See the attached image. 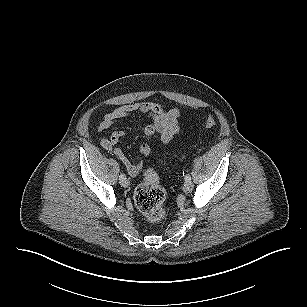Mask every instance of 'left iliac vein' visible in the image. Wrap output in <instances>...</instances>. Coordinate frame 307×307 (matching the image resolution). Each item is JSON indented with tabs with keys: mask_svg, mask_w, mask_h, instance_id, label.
I'll return each instance as SVG.
<instances>
[{
	"mask_svg": "<svg viewBox=\"0 0 307 307\" xmlns=\"http://www.w3.org/2000/svg\"><path fill=\"white\" fill-rule=\"evenodd\" d=\"M193 189V182L191 180H185V183L183 185V190L185 192H189Z\"/></svg>",
	"mask_w": 307,
	"mask_h": 307,
	"instance_id": "4c4485c4",
	"label": "left iliac vein"
}]
</instances>
